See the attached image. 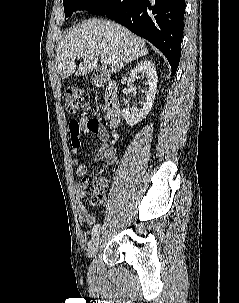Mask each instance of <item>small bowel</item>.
I'll list each match as a JSON object with an SVG mask.
<instances>
[{"label":"small bowel","instance_id":"1","mask_svg":"<svg viewBox=\"0 0 239 303\" xmlns=\"http://www.w3.org/2000/svg\"><path fill=\"white\" fill-rule=\"evenodd\" d=\"M68 127L70 133V143L74 149V154L76 155L74 164L78 176L82 177L87 172L86 164L78 157V154L82 148V134L95 135L98 137L99 146L94 157L96 161H104L107 165H112L115 163L116 149L108 143L111 136L108 130L99 122L98 119L83 116L78 120L70 121ZM75 198L79 219L88 225H93L95 223V216L86 208L84 204L85 192L80 185H78L75 189Z\"/></svg>","mask_w":239,"mask_h":303}]
</instances>
